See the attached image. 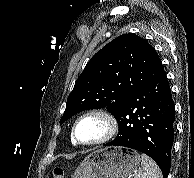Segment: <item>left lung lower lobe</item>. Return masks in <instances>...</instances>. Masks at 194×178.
I'll return each instance as SVG.
<instances>
[{
  "mask_svg": "<svg viewBox=\"0 0 194 178\" xmlns=\"http://www.w3.org/2000/svg\"><path fill=\"white\" fill-rule=\"evenodd\" d=\"M117 137L105 146H122L150 156L167 178L174 139L175 105L165 71L128 96L114 113Z\"/></svg>",
  "mask_w": 194,
  "mask_h": 178,
  "instance_id": "obj_1",
  "label": "left lung lower lobe"
}]
</instances>
